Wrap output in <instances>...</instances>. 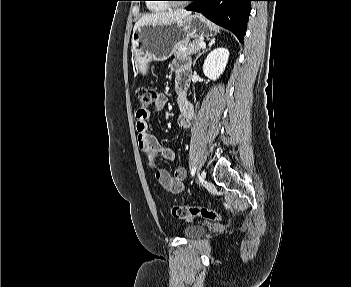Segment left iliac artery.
I'll return each mask as SVG.
<instances>
[{
  "mask_svg": "<svg viewBox=\"0 0 351 287\" xmlns=\"http://www.w3.org/2000/svg\"><path fill=\"white\" fill-rule=\"evenodd\" d=\"M195 173H196V167H193L191 169V176L193 177L195 175Z\"/></svg>",
  "mask_w": 351,
  "mask_h": 287,
  "instance_id": "1",
  "label": "left iliac artery"
}]
</instances>
